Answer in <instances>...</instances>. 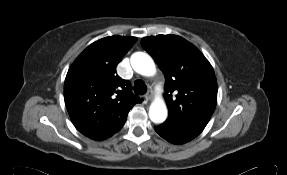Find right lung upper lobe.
<instances>
[{"instance_id": "right-lung-upper-lobe-1", "label": "right lung upper lobe", "mask_w": 287, "mask_h": 175, "mask_svg": "<svg viewBox=\"0 0 287 175\" xmlns=\"http://www.w3.org/2000/svg\"><path fill=\"white\" fill-rule=\"evenodd\" d=\"M137 41L109 36L89 45L66 75L64 99L76 129L93 140H105L124 125L128 112L142 102L132 86L116 74V66Z\"/></svg>"}]
</instances>
